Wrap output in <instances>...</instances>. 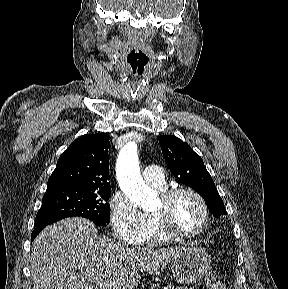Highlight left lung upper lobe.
<instances>
[{"label":"left lung upper lobe","instance_id":"obj_1","mask_svg":"<svg viewBox=\"0 0 288 289\" xmlns=\"http://www.w3.org/2000/svg\"><path fill=\"white\" fill-rule=\"evenodd\" d=\"M159 143L172 174L199 193L215 217L224 215L226 211L223 200L201 157L186 142L173 135L159 137Z\"/></svg>","mask_w":288,"mask_h":289}]
</instances>
